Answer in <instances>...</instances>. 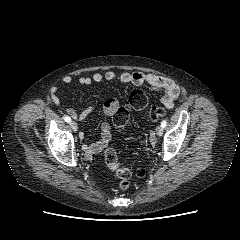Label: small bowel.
Wrapping results in <instances>:
<instances>
[{"mask_svg":"<svg viewBox=\"0 0 240 240\" xmlns=\"http://www.w3.org/2000/svg\"><path fill=\"white\" fill-rule=\"evenodd\" d=\"M103 81L120 82L123 84H132L134 86H147L155 91L163 92L162 103L167 109H172L175 101L180 95V89L172 80L156 75L153 73H144L140 71L116 73L114 71H106L105 73H94L91 76H81L78 82L81 85H91L93 83H101ZM62 83L69 85L72 83L70 76L62 78ZM51 99L53 103L59 105L60 99L57 95V87L51 90ZM120 107V102L116 97H110L103 103V112L106 116L111 117ZM95 111L94 107H88L81 113H77L73 108H67L66 112L75 120L83 121ZM83 133L80 138L83 139ZM111 140V127L107 122L101 125V137L92 143H84L83 150L87 156H92L101 152Z\"/></svg>","mask_w":240,"mask_h":240,"instance_id":"c3829d8e","label":"small bowel"}]
</instances>
